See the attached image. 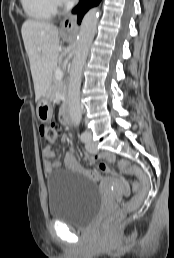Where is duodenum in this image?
Wrapping results in <instances>:
<instances>
[{
  "instance_id": "obj_1",
  "label": "duodenum",
  "mask_w": 174,
  "mask_h": 258,
  "mask_svg": "<svg viewBox=\"0 0 174 258\" xmlns=\"http://www.w3.org/2000/svg\"><path fill=\"white\" fill-rule=\"evenodd\" d=\"M60 119L63 123L68 124L70 122V105L67 100H64L60 110Z\"/></svg>"
}]
</instances>
